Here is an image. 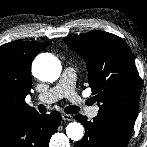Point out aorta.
Wrapping results in <instances>:
<instances>
[{"label":"aorta","mask_w":147,"mask_h":147,"mask_svg":"<svg viewBox=\"0 0 147 147\" xmlns=\"http://www.w3.org/2000/svg\"><path fill=\"white\" fill-rule=\"evenodd\" d=\"M61 63L57 57L49 53L38 55L32 64L33 75L41 81L53 82L61 73ZM68 138L79 141L84 135V127L79 122H71L66 127Z\"/></svg>","instance_id":"1"}]
</instances>
